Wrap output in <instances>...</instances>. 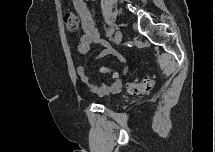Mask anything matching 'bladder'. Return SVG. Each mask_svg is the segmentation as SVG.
I'll list each match as a JSON object with an SVG mask.
<instances>
[{
	"instance_id": "obj_1",
	"label": "bladder",
	"mask_w": 215,
	"mask_h": 152,
	"mask_svg": "<svg viewBox=\"0 0 215 152\" xmlns=\"http://www.w3.org/2000/svg\"><path fill=\"white\" fill-rule=\"evenodd\" d=\"M106 104H107V106H109V107H112V106H113V103H111V102H107Z\"/></svg>"
}]
</instances>
